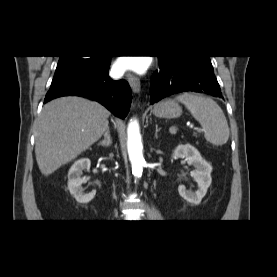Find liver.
I'll use <instances>...</instances> for the list:
<instances>
[{"label":"liver","mask_w":277,"mask_h":277,"mask_svg":"<svg viewBox=\"0 0 277 277\" xmlns=\"http://www.w3.org/2000/svg\"><path fill=\"white\" fill-rule=\"evenodd\" d=\"M109 111L99 103L62 97L47 103L37 121L35 155L45 176L75 159L108 128Z\"/></svg>","instance_id":"obj_1"}]
</instances>
